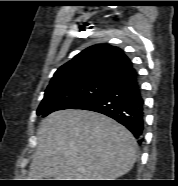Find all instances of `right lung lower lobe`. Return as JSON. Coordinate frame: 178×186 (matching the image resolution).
Masks as SVG:
<instances>
[{"label": "right lung lower lobe", "mask_w": 178, "mask_h": 186, "mask_svg": "<svg viewBox=\"0 0 178 186\" xmlns=\"http://www.w3.org/2000/svg\"><path fill=\"white\" fill-rule=\"evenodd\" d=\"M77 109L95 111L115 119L141 142L145 115L137 72L111 83L99 95Z\"/></svg>", "instance_id": "obj_1"}]
</instances>
